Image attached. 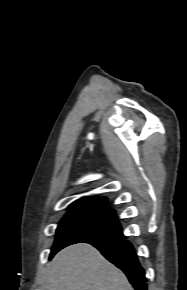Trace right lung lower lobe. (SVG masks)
Returning a JSON list of instances; mask_svg holds the SVG:
<instances>
[{"instance_id":"98d812e1","label":"right lung lower lobe","mask_w":187,"mask_h":290,"mask_svg":"<svg viewBox=\"0 0 187 290\" xmlns=\"http://www.w3.org/2000/svg\"><path fill=\"white\" fill-rule=\"evenodd\" d=\"M96 247L110 262L120 268L136 290H147L145 271L131 243L122 232L86 241Z\"/></svg>"}]
</instances>
